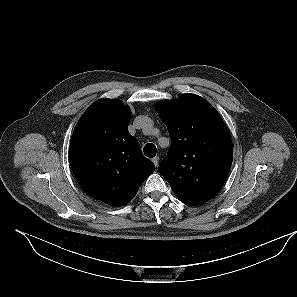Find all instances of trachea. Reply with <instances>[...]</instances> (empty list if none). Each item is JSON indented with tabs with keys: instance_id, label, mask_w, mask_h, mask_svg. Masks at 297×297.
<instances>
[{
	"instance_id": "obj_1",
	"label": "trachea",
	"mask_w": 297,
	"mask_h": 297,
	"mask_svg": "<svg viewBox=\"0 0 297 297\" xmlns=\"http://www.w3.org/2000/svg\"><path fill=\"white\" fill-rule=\"evenodd\" d=\"M143 152L145 156L152 158L156 156V146L154 144L148 143L144 146Z\"/></svg>"
}]
</instances>
